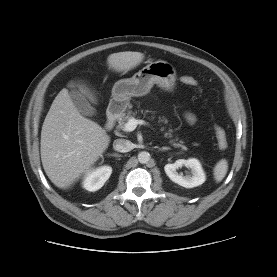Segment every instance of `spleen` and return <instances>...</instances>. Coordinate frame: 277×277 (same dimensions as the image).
Returning a JSON list of instances; mask_svg holds the SVG:
<instances>
[{"label":"spleen","mask_w":277,"mask_h":277,"mask_svg":"<svg viewBox=\"0 0 277 277\" xmlns=\"http://www.w3.org/2000/svg\"><path fill=\"white\" fill-rule=\"evenodd\" d=\"M228 171V162L226 159H221L213 169V175L216 182H221Z\"/></svg>","instance_id":"spleen-1"}]
</instances>
